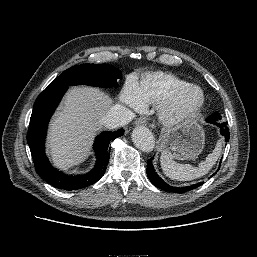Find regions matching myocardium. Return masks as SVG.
Listing matches in <instances>:
<instances>
[{"label":"myocardium","mask_w":257,"mask_h":257,"mask_svg":"<svg viewBox=\"0 0 257 257\" xmlns=\"http://www.w3.org/2000/svg\"><path fill=\"white\" fill-rule=\"evenodd\" d=\"M190 91H197L200 95L197 104L187 111L177 110L178 100ZM206 97L201 87L188 84L171 92L159 106V115L162 121L168 125H177L195 118L203 109Z\"/></svg>","instance_id":"f54148a6"}]
</instances>
